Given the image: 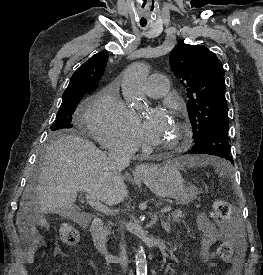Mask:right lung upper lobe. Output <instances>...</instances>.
I'll list each match as a JSON object with an SVG mask.
<instances>
[{
	"instance_id": "right-lung-upper-lobe-1",
	"label": "right lung upper lobe",
	"mask_w": 263,
	"mask_h": 275,
	"mask_svg": "<svg viewBox=\"0 0 263 275\" xmlns=\"http://www.w3.org/2000/svg\"><path fill=\"white\" fill-rule=\"evenodd\" d=\"M107 60V51L92 56L73 73L64 94L78 90H87L89 92L95 90L99 84L98 80L103 76Z\"/></svg>"
}]
</instances>
